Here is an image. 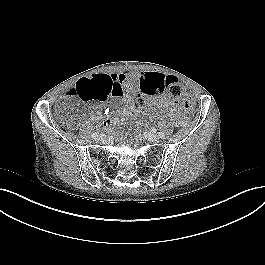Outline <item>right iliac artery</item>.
Here are the masks:
<instances>
[{
  "label": "right iliac artery",
  "instance_id": "obj_1",
  "mask_svg": "<svg viewBox=\"0 0 265 265\" xmlns=\"http://www.w3.org/2000/svg\"><path fill=\"white\" fill-rule=\"evenodd\" d=\"M98 134H99V132H94V133L91 135V137H92L93 139H96V137L98 136Z\"/></svg>",
  "mask_w": 265,
  "mask_h": 265
}]
</instances>
